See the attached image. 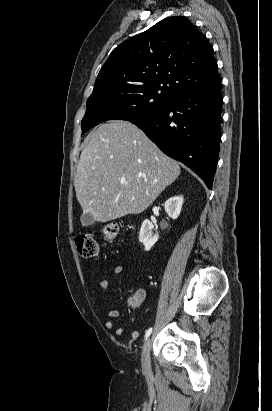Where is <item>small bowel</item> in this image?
<instances>
[{
    "label": "small bowel",
    "mask_w": 272,
    "mask_h": 411,
    "mask_svg": "<svg viewBox=\"0 0 272 411\" xmlns=\"http://www.w3.org/2000/svg\"><path fill=\"white\" fill-rule=\"evenodd\" d=\"M123 271H124V267H123L122 265H117V266H115L114 269H113V273H114L115 275H120V274L123 273ZM99 285H100V288H101L105 293H107V292L109 291L110 283H109L107 280H102V281L99 283ZM143 299H144V298H143V296H142L140 303L136 306L137 309H140V308H141V304H142V302H143ZM108 316H109L110 320L106 322V324H105V325H106V328H107L108 330L113 331V332H114L116 335H118V336L123 335V334L125 333V329H124L123 327L117 326L116 323L114 322V319H117V318L120 317V312H119L118 310H116V309H109V311H108ZM130 336H131V338H132L133 340H137V339H139V337H140V333H139V331H137V330H132V331L130 332Z\"/></svg>",
    "instance_id": "obj_1"
}]
</instances>
